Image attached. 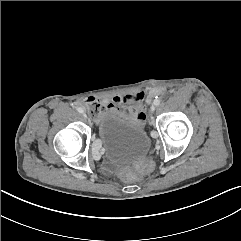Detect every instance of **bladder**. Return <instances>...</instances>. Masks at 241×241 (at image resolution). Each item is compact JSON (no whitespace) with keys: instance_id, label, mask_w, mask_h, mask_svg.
<instances>
[{"instance_id":"bladder-1","label":"bladder","mask_w":241,"mask_h":241,"mask_svg":"<svg viewBox=\"0 0 241 241\" xmlns=\"http://www.w3.org/2000/svg\"><path fill=\"white\" fill-rule=\"evenodd\" d=\"M98 134L105 157L112 163H128L144 158L150 150V138L143 127L109 110L102 114Z\"/></svg>"}]
</instances>
